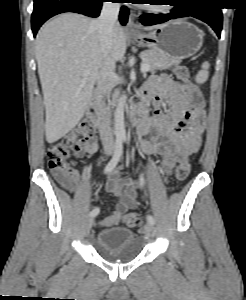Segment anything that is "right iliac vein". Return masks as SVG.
Masks as SVG:
<instances>
[{
    "mask_svg": "<svg viewBox=\"0 0 246 300\" xmlns=\"http://www.w3.org/2000/svg\"><path fill=\"white\" fill-rule=\"evenodd\" d=\"M93 225V217L88 218L86 223V231H89Z\"/></svg>",
    "mask_w": 246,
    "mask_h": 300,
    "instance_id": "right-iliac-vein-1",
    "label": "right iliac vein"
}]
</instances>
